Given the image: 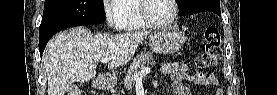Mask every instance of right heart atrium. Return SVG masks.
<instances>
[{
  "label": "right heart atrium",
  "mask_w": 277,
  "mask_h": 95,
  "mask_svg": "<svg viewBox=\"0 0 277 95\" xmlns=\"http://www.w3.org/2000/svg\"><path fill=\"white\" fill-rule=\"evenodd\" d=\"M121 0H104L103 12L108 26L113 30L121 29V15L116 9V4Z\"/></svg>",
  "instance_id": "1"
}]
</instances>
